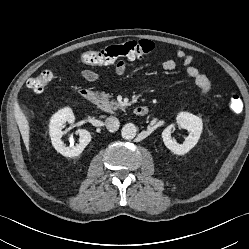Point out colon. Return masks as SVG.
I'll return each mask as SVG.
<instances>
[{
  "label": "colon",
  "instance_id": "5ec220e1",
  "mask_svg": "<svg viewBox=\"0 0 249 249\" xmlns=\"http://www.w3.org/2000/svg\"><path fill=\"white\" fill-rule=\"evenodd\" d=\"M154 49V43L147 39L139 41H129L122 44L111 45L99 51H85L81 54L82 62L91 65L110 64L114 61L126 58L129 60L140 58L149 54ZM54 74L50 70H45L37 76L29 79L28 87L36 92H44L51 81ZM228 109L233 114H238L243 109V103L239 96L232 95L228 100Z\"/></svg>",
  "mask_w": 249,
  "mask_h": 249
}]
</instances>
